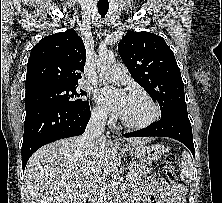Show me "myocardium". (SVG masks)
<instances>
[{
  "mask_svg": "<svg viewBox=\"0 0 222 203\" xmlns=\"http://www.w3.org/2000/svg\"><path fill=\"white\" fill-rule=\"evenodd\" d=\"M131 97H139V98H143L145 99L153 108V115L150 119L141 122V123H133V122H129L126 119H124L123 117H121V123L130 129H135V130H139V129H144L147 127H150L151 125H153L154 123H156L160 117H161V108L158 105L157 102H155V100L148 95L145 92H133L130 94Z\"/></svg>",
  "mask_w": 222,
  "mask_h": 203,
  "instance_id": "1",
  "label": "myocardium"
}]
</instances>
